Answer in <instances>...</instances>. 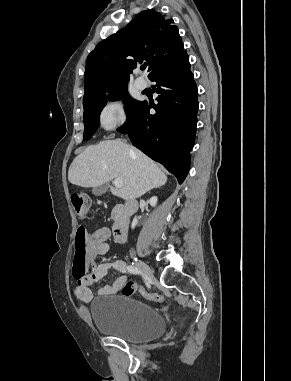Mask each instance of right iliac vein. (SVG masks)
I'll use <instances>...</instances> for the list:
<instances>
[{
    "label": "right iliac vein",
    "instance_id": "63e3f726",
    "mask_svg": "<svg viewBox=\"0 0 291 381\" xmlns=\"http://www.w3.org/2000/svg\"><path fill=\"white\" fill-rule=\"evenodd\" d=\"M136 267H138L150 280L154 279L153 273L149 266L141 260L135 261Z\"/></svg>",
    "mask_w": 291,
    "mask_h": 381
}]
</instances>
